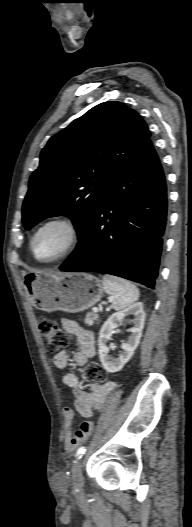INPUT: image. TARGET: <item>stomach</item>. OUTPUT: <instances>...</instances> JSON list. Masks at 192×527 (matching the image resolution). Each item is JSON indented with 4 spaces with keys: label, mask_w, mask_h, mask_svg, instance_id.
<instances>
[{
    "label": "stomach",
    "mask_w": 192,
    "mask_h": 527,
    "mask_svg": "<svg viewBox=\"0 0 192 527\" xmlns=\"http://www.w3.org/2000/svg\"><path fill=\"white\" fill-rule=\"evenodd\" d=\"M25 287L33 305L42 311L77 313L89 309L103 296V284L86 273H29Z\"/></svg>",
    "instance_id": "obj_1"
}]
</instances>
